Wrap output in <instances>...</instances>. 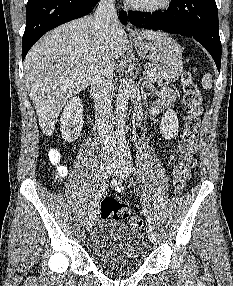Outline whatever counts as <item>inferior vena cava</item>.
<instances>
[{
  "instance_id": "1",
  "label": "inferior vena cava",
  "mask_w": 233,
  "mask_h": 286,
  "mask_svg": "<svg viewBox=\"0 0 233 286\" xmlns=\"http://www.w3.org/2000/svg\"><path fill=\"white\" fill-rule=\"evenodd\" d=\"M95 27L104 30V35L108 33L110 23L117 22V13L114 6V0H100L94 13ZM107 47V46H106ZM96 60L94 76L91 81V93L94 97L95 119L97 129L100 131V137L108 141L107 147L113 149L112 133L113 125L111 122L112 109V88L114 59L110 58L108 52L104 51ZM106 146V144H105Z\"/></svg>"
}]
</instances>
